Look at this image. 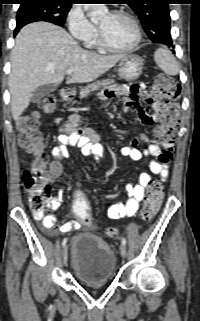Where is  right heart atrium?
<instances>
[{
  "mask_svg": "<svg viewBox=\"0 0 200 321\" xmlns=\"http://www.w3.org/2000/svg\"><path fill=\"white\" fill-rule=\"evenodd\" d=\"M70 34L77 40L85 41L96 34L95 26L86 17L80 6H73L67 15Z\"/></svg>",
  "mask_w": 200,
  "mask_h": 321,
  "instance_id": "right-heart-atrium-1",
  "label": "right heart atrium"
}]
</instances>
